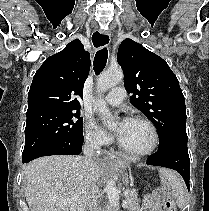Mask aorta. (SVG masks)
Returning <instances> with one entry per match:
<instances>
[{"label": "aorta", "instance_id": "762f6f07", "mask_svg": "<svg viewBox=\"0 0 209 211\" xmlns=\"http://www.w3.org/2000/svg\"><path fill=\"white\" fill-rule=\"evenodd\" d=\"M123 71L121 69H109L99 75L97 79V91L103 93L123 81ZM94 108L105 118L108 127L114 126V121L106 104L101 99L95 102ZM110 206L116 208L119 203V191L114 181H108L105 187Z\"/></svg>", "mask_w": 209, "mask_h": 211}]
</instances>
